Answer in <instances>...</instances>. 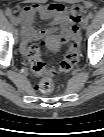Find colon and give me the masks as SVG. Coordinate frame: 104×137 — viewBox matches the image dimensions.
<instances>
[{
	"label": "colon",
	"mask_w": 104,
	"mask_h": 137,
	"mask_svg": "<svg viewBox=\"0 0 104 137\" xmlns=\"http://www.w3.org/2000/svg\"><path fill=\"white\" fill-rule=\"evenodd\" d=\"M26 55L30 68L39 76L41 80L38 84V88L43 93H49L54 88V78L57 72L46 66L40 47L38 44L33 43L27 46ZM79 60V47L76 41H72L68 45V51L59 65L60 72H69L77 64Z\"/></svg>",
	"instance_id": "5ec220e1"
}]
</instances>
